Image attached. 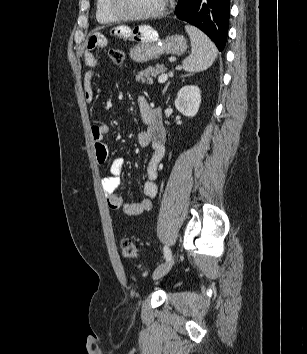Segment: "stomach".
Segmentation results:
<instances>
[{
    "label": "stomach",
    "mask_w": 307,
    "mask_h": 354,
    "mask_svg": "<svg viewBox=\"0 0 307 354\" xmlns=\"http://www.w3.org/2000/svg\"><path fill=\"white\" fill-rule=\"evenodd\" d=\"M130 31H134V38L130 39L136 43L130 56L138 63L159 58L163 54L181 55L187 49L186 40L181 35H169L158 40L157 32L149 25H141Z\"/></svg>",
    "instance_id": "stomach-1"
}]
</instances>
